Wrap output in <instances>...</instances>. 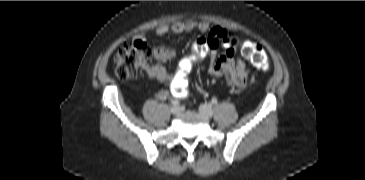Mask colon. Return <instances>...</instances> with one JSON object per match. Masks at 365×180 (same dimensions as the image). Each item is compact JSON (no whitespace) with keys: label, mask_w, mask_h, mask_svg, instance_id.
I'll return each mask as SVG.
<instances>
[{"label":"colon","mask_w":365,"mask_h":180,"mask_svg":"<svg viewBox=\"0 0 365 180\" xmlns=\"http://www.w3.org/2000/svg\"><path fill=\"white\" fill-rule=\"evenodd\" d=\"M208 40H211V37ZM228 40L232 41L230 37H228ZM235 48H239L241 54L256 68L265 72L269 70L268 56L261 45L245 40L238 41ZM199 51L200 48L196 46V52ZM114 63L117 77L120 80H129L137 75L140 68L150 67L152 59L146 43L142 40H135L125 43L116 51ZM172 92L176 97H186L188 95V84L185 77H181L173 83Z\"/></svg>","instance_id":"colon-1"}]
</instances>
